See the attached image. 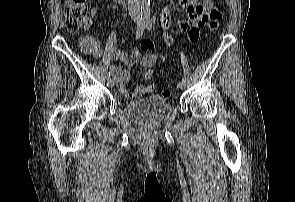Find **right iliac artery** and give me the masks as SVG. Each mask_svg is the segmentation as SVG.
<instances>
[{"mask_svg": "<svg viewBox=\"0 0 295 202\" xmlns=\"http://www.w3.org/2000/svg\"><path fill=\"white\" fill-rule=\"evenodd\" d=\"M146 27V23L145 22H139L138 27H137V31H136V39L140 38L144 32V29ZM107 78H111V73L108 72L106 75Z\"/></svg>", "mask_w": 295, "mask_h": 202, "instance_id": "obj_1", "label": "right iliac artery"}]
</instances>
